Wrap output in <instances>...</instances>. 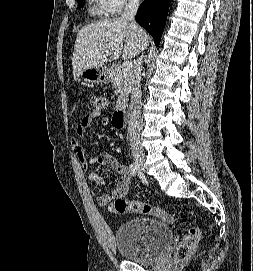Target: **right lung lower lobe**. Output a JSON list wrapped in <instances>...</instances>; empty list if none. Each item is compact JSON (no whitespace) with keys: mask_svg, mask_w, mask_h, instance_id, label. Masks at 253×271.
Listing matches in <instances>:
<instances>
[{"mask_svg":"<svg viewBox=\"0 0 253 271\" xmlns=\"http://www.w3.org/2000/svg\"><path fill=\"white\" fill-rule=\"evenodd\" d=\"M170 0H145L139 7L135 19L154 38L158 46L166 24Z\"/></svg>","mask_w":253,"mask_h":271,"instance_id":"1","label":"right lung lower lobe"}]
</instances>
